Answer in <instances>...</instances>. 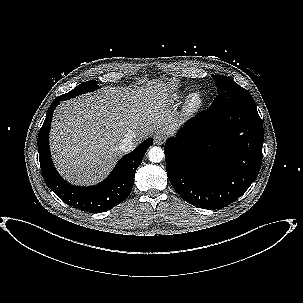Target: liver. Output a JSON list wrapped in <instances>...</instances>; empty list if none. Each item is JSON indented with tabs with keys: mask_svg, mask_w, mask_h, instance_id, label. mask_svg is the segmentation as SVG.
<instances>
[{
	"mask_svg": "<svg viewBox=\"0 0 303 303\" xmlns=\"http://www.w3.org/2000/svg\"><path fill=\"white\" fill-rule=\"evenodd\" d=\"M174 81L146 86L105 87L67 100L56 109L50 148L59 173L75 184L99 182L123 156L121 140L135 134V147L150 134L173 135L182 124L170 107Z\"/></svg>",
	"mask_w": 303,
	"mask_h": 303,
	"instance_id": "6515ba94",
	"label": "liver"
}]
</instances>
